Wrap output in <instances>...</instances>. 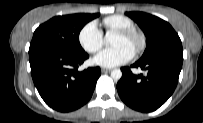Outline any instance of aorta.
<instances>
[{
  "label": "aorta",
  "mask_w": 203,
  "mask_h": 123,
  "mask_svg": "<svg viewBox=\"0 0 203 123\" xmlns=\"http://www.w3.org/2000/svg\"><path fill=\"white\" fill-rule=\"evenodd\" d=\"M111 77L114 80H119L122 77V72L120 69H114L111 71Z\"/></svg>",
  "instance_id": "762f6f07"
}]
</instances>
